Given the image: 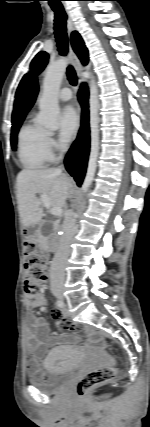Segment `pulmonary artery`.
I'll return each instance as SVG.
<instances>
[{
  "label": "pulmonary artery",
  "instance_id": "pulmonary-artery-1",
  "mask_svg": "<svg viewBox=\"0 0 150 427\" xmlns=\"http://www.w3.org/2000/svg\"><path fill=\"white\" fill-rule=\"evenodd\" d=\"M58 98L61 101H68L72 98V92L68 87H64L60 90Z\"/></svg>",
  "mask_w": 150,
  "mask_h": 427
}]
</instances>
